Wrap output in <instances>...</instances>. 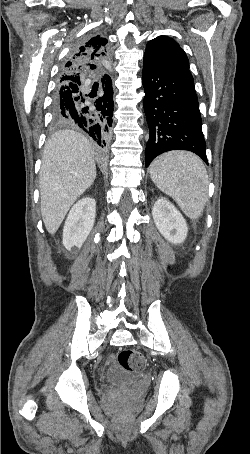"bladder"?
Instances as JSON below:
<instances>
[{
    "label": "bladder",
    "mask_w": 250,
    "mask_h": 454,
    "mask_svg": "<svg viewBox=\"0 0 250 454\" xmlns=\"http://www.w3.org/2000/svg\"><path fill=\"white\" fill-rule=\"evenodd\" d=\"M106 379L115 386L129 385L137 380V376L125 371L117 366H111L106 372Z\"/></svg>",
    "instance_id": "1"
}]
</instances>
